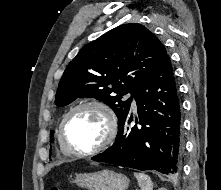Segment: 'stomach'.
Returning a JSON list of instances; mask_svg holds the SVG:
<instances>
[{
  "label": "stomach",
  "instance_id": "0dacf381",
  "mask_svg": "<svg viewBox=\"0 0 221 190\" xmlns=\"http://www.w3.org/2000/svg\"><path fill=\"white\" fill-rule=\"evenodd\" d=\"M72 183L88 190H126L129 179L112 170H102L94 173H79Z\"/></svg>",
  "mask_w": 221,
  "mask_h": 190
}]
</instances>
